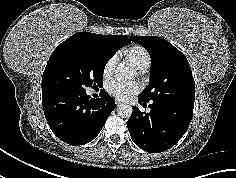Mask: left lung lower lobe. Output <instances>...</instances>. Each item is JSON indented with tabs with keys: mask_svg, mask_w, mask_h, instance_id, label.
Returning <instances> with one entry per match:
<instances>
[{
	"mask_svg": "<svg viewBox=\"0 0 236 178\" xmlns=\"http://www.w3.org/2000/svg\"><path fill=\"white\" fill-rule=\"evenodd\" d=\"M144 100L139 98V103ZM147 105V104H146ZM149 113L137 107L127 127L133 142L142 150L160 153L173 147L185 134L193 115V107L151 102Z\"/></svg>",
	"mask_w": 236,
	"mask_h": 178,
	"instance_id": "1",
	"label": "left lung lower lobe"
}]
</instances>
